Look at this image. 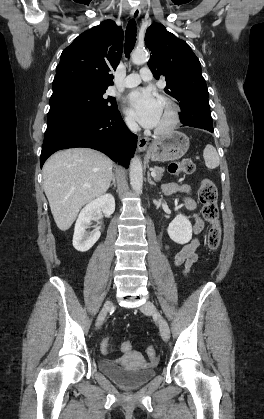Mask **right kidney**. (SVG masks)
Instances as JSON below:
<instances>
[{"label": "right kidney", "instance_id": "right-kidney-1", "mask_svg": "<svg viewBox=\"0 0 264 419\" xmlns=\"http://www.w3.org/2000/svg\"><path fill=\"white\" fill-rule=\"evenodd\" d=\"M101 210L106 216L115 211V199L111 194H104L88 203L80 212L75 224L73 235V246L80 252L88 251L100 238L101 232L96 227L92 232L87 233L86 229L91 221H98Z\"/></svg>", "mask_w": 264, "mask_h": 419}]
</instances>
